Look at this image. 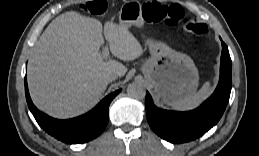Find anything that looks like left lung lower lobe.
<instances>
[{"label":"left lung lower lobe","mask_w":259,"mask_h":156,"mask_svg":"<svg viewBox=\"0 0 259 156\" xmlns=\"http://www.w3.org/2000/svg\"><path fill=\"white\" fill-rule=\"evenodd\" d=\"M220 81L214 94L200 107L189 112H175L157 108L146 93L145 106L148 123L161 138L172 143L195 140L220 120L231 92V58L222 42Z\"/></svg>","instance_id":"1"}]
</instances>
